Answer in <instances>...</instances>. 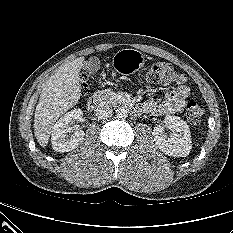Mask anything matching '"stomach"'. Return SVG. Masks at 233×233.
Wrapping results in <instances>:
<instances>
[{"instance_id": "1", "label": "stomach", "mask_w": 233, "mask_h": 233, "mask_svg": "<svg viewBox=\"0 0 233 233\" xmlns=\"http://www.w3.org/2000/svg\"><path fill=\"white\" fill-rule=\"evenodd\" d=\"M145 64L144 55L135 49H122L116 52L112 58L113 67L120 73L131 74Z\"/></svg>"}]
</instances>
